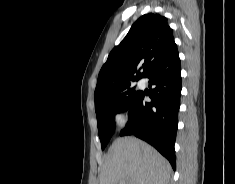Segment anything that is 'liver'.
Returning <instances> with one entry per match:
<instances>
[{"instance_id":"1","label":"liver","mask_w":235,"mask_h":184,"mask_svg":"<svg viewBox=\"0 0 235 184\" xmlns=\"http://www.w3.org/2000/svg\"><path fill=\"white\" fill-rule=\"evenodd\" d=\"M171 166L149 144L125 136L117 138L108 150L102 166L100 184H117L130 178L129 184H168Z\"/></svg>"}]
</instances>
